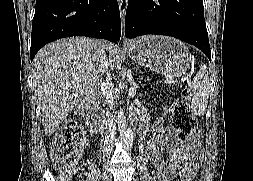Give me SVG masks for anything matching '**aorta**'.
<instances>
[{"mask_svg": "<svg viewBox=\"0 0 253 181\" xmlns=\"http://www.w3.org/2000/svg\"><path fill=\"white\" fill-rule=\"evenodd\" d=\"M126 112H124V107H119V112L117 114V123H116V128H119L120 131V139H125V131H126ZM122 149H127V144H122Z\"/></svg>", "mask_w": 253, "mask_h": 181, "instance_id": "1", "label": "aorta"}]
</instances>
